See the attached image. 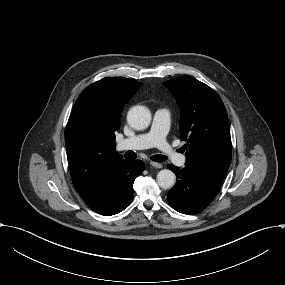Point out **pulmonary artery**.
Instances as JSON below:
<instances>
[{"label": "pulmonary artery", "instance_id": "obj_1", "mask_svg": "<svg viewBox=\"0 0 285 285\" xmlns=\"http://www.w3.org/2000/svg\"><path fill=\"white\" fill-rule=\"evenodd\" d=\"M172 116L166 109H157L154 114V119L150 130L146 133H140L133 137L122 138L118 143V148H160L167 152V157L174 160V163L179 167H185L187 156L186 154H178L175 149H170L165 140V132L171 127Z\"/></svg>", "mask_w": 285, "mask_h": 285}]
</instances>
